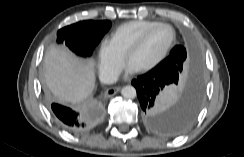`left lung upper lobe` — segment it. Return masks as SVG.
<instances>
[{
    "mask_svg": "<svg viewBox=\"0 0 244 157\" xmlns=\"http://www.w3.org/2000/svg\"><path fill=\"white\" fill-rule=\"evenodd\" d=\"M189 58L183 46H175L170 55L160 62L153 70L159 71L169 77L179 79L183 70L188 66Z\"/></svg>",
    "mask_w": 244,
    "mask_h": 157,
    "instance_id": "1",
    "label": "left lung upper lobe"
}]
</instances>
